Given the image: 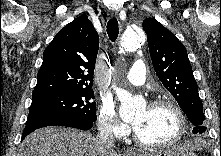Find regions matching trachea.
I'll list each match as a JSON object with an SVG mask.
<instances>
[{"mask_svg":"<svg viewBox=\"0 0 221 156\" xmlns=\"http://www.w3.org/2000/svg\"><path fill=\"white\" fill-rule=\"evenodd\" d=\"M107 33L112 42L116 41L119 34L118 21L116 18H112L108 21Z\"/></svg>","mask_w":221,"mask_h":156,"instance_id":"trachea-1","label":"trachea"}]
</instances>
